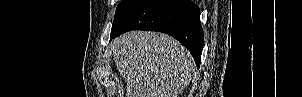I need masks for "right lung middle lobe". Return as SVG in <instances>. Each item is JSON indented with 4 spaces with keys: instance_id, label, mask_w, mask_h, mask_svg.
Returning <instances> with one entry per match:
<instances>
[{
    "instance_id": "right-lung-middle-lobe-1",
    "label": "right lung middle lobe",
    "mask_w": 302,
    "mask_h": 97,
    "mask_svg": "<svg viewBox=\"0 0 302 97\" xmlns=\"http://www.w3.org/2000/svg\"><path fill=\"white\" fill-rule=\"evenodd\" d=\"M145 0H124L121 2L115 13L111 34L142 4Z\"/></svg>"
}]
</instances>
